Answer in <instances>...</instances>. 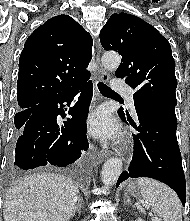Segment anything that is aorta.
Masks as SVG:
<instances>
[{
    "mask_svg": "<svg viewBox=\"0 0 190 221\" xmlns=\"http://www.w3.org/2000/svg\"><path fill=\"white\" fill-rule=\"evenodd\" d=\"M102 64L107 70H116L121 62V58L116 53H105L102 56ZM122 172V160L111 158L107 160L101 172V178L105 185L112 186L119 178Z\"/></svg>",
    "mask_w": 190,
    "mask_h": 221,
    "instance_id": "obj_1",
    "label": "aorta"
}]
</instances>
